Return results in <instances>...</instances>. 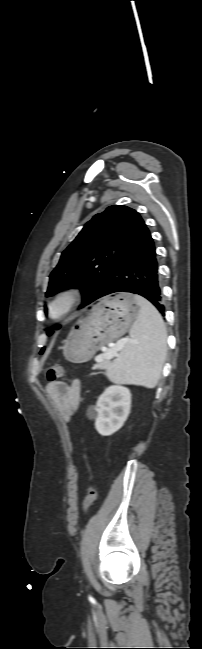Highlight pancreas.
Instances as JSON below:
<instances>
[{
  "label": "pancreas",
  "instance_id": "cf45deb5",
  "mask_svg": "<svg viewBox=\"0 0 202 649\" xmlns=\"http://www.w3.org/2000/svg\"><path fill=\"white\" fill-rule=\"evenodd\" d=\"M110 363H111L110 360H108V359H104V360H102L101 362H98V364L96 365V367H97L98 369H100V370H108V368H109V366H110Z\"/></svg>",
  "mask_w": 202,
  "mask_h": 649
}]
</instances>
